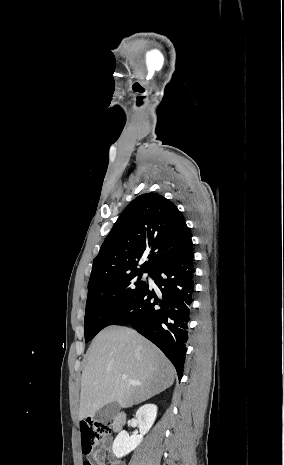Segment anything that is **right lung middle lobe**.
Instances as JSON below:
<instances>
[{
  "label": "right lung middle lobe",
  "mask_w": 284,
  "mask_h": 465,
  "mask_svg": "<svg viewBox=\"0 0 284 465\" xmlns=\"http://www.w3.org/2000/svg\"><path fill=\"white\" fill-rule=\"evenodd\" d=\"M142 273H132L88 289L85 312V340L90 341L146 287Z\"/></svg>",
  "instance_id": "right-lung-middle-lobe-1"
}]
</instances>
